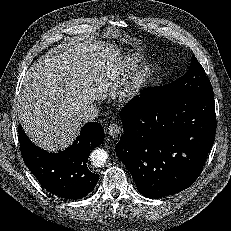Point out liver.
Segmentation results:
<instances>
[{"label":"liver","mask_w":231,"mask_h":231,"mask_svg":"<svg viewBox=\"0 0 231 231\" xmlns=\"http://www.w3.org/2000/svg\"><path fill=\"white\" fill-rule=\"evenodd\" d=\"M111 50L101 41L75 39L31 65L17 97V112L35 144L56 152L73 143L83 126L79 111L112 86Z\"/></svg>","instance_id":"obj_1"}]
</instances>
